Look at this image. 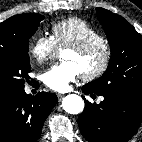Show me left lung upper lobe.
<instances>
[{
  "label": "left lung upper lobe",
  "mask_w": 142,
  "mask_h": 142,
  "mask_svg": "<svg viewBox=\"0 0 142 142\" xmlns=\"http://www.w3.org/2000/svg\"><path fill=\"white\" fill-rule=\"evenodd\" d=\"M111 48L106 72L85 86L97 94H128L142 98V37L123 17L96 8Z\"/></svg>",
  "instance_id": "1"
}]
</instances>
